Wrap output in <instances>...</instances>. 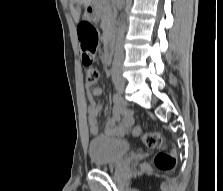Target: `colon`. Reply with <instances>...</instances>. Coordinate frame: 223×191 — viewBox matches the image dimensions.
I'll list each match as a JSON object with an SVG mask.
<instances>
[{
  "instance_id": "obj_1",
  "label": "colon",
  "mask_w": 223,
  "mask_h": 191,
  "mask_svg": "<svg viewBox=\"0 0 223 191\" xmlns=\"http://www.w3.org/2000/svg\"><path fill=\"white\" fill-rule=\"evenodd\" d=\"M80 40L83 64L88 68L87 81L94 84L98 80L99 73L91 66L95 61L99 33L97 29L86 25L80 31ZM132 133L133 136L141 138L142 142L149 148L156 149L162 145V138L159 133L145 131L140 126L134 127ZM154 164L159 170L167 172L174 168L175 158L172 153L161 150L155 155Z\"/></svg>"
}]
</instances>
